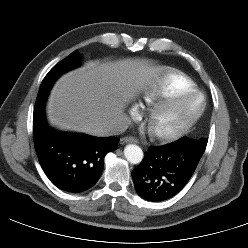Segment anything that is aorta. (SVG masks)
Returning <instances> with one entry per match:
<instances>
[{
	"label": "aorta",
	"mask_w": 248,
	"mask_h": 248,
	"mask_svg": "<svg viewBox=\"0 0 248 248\" xmlns=\"http://www.w3.org/2000/svg\"><path fill=\"white\" fill-rule=\"evenodd\" d=\"M124 155L131 164H139L143 159L142 149L134 144H129L125 147Z\"/></svg>",
	"instance_id": "1"
}]
</instances>
